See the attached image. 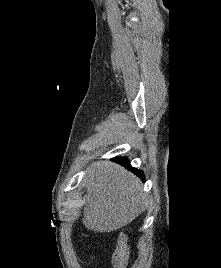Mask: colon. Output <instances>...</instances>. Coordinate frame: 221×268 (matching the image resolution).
Returning <instances> with one entry per match:
<instances>
[{"instance_id":"obj_1","label":"colon","mask_w":221,"mask_h":268,"mask_svg":"<svg viewBox=\"0 0 221 268\" xmlns=\"http://www.w3.org/2000/svg\"><path fill=\"white\" fill-rule=\"evenodd\" d=\"M128 260V245L125 236H120L112 256L113 268H125Z\"/></svg>"}]
</instances>
